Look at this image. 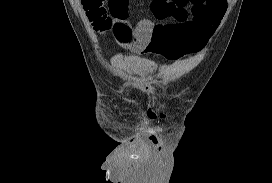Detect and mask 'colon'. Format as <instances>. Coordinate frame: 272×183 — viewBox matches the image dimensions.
<instances>
[{
    "label": "colon",
    "mask_w": 272,
    "mask_h": 183,
    "mask_svg": "<svg viewBox=\"0 0 272 183\" xmlns=\"http://www.w3.org/2000/svg\"><path fill=\"white\" fill-rule=\"evenodd\" d=\"M106 1L108 7H106ZM128 0H82L87 17L97 31H114L127 13Z\"/></svg>",
    "instance_id": "1"
}]
</instances>
